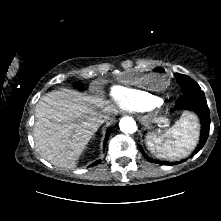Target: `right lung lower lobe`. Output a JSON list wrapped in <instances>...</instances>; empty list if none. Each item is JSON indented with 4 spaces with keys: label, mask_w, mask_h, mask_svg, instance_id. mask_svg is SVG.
I'll use <instances>...</instances> for the list:
<instances>
[{
    "label": "right lung lower lobe",
    "mask_w": 221,
    "mask_h": 221,
    "mask_svg": "<svg viewBox=\"0 0 221 221\" xmlns=\"http://www.w3.org/2000/svg\"><path fill=\"white\" fill-rule=\"evenodd\" d=\"M110 132H111V129H109L107 134H106V137H105V140H104V146L106 145V142H107V139H108V136H109ZM99 163H100V160H97L92 165H97Z\"/></svg>",
    "instance_id": "1"
}]
</instances>
